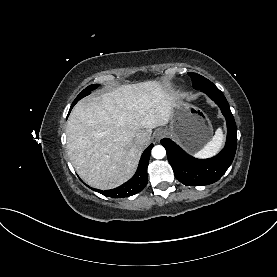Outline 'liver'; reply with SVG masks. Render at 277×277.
I'll return each mask as SVG.
<instances>
[{
  "label": "liver",
  "instance_id": "6515ba94",
  "mask_svg": "<svg viewBox=\"0 0 277 277\" xmlns=\"http://www.w3.org/2000/svg\"><path fill=\"white\" fill-rule=\"evenodd\" d=\"M176 99L160 82L145 81L80 100L66 128L68 155L78 175L102 190L130 179L152 129L170 121ZM139 131L149 135L144 144L135 141Z\"/></svg>",
  "mask_w": 277,
  "mask_h": 277
}]
</instances>
